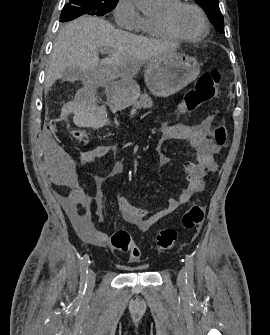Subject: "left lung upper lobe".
Segmentation results:
<instances>
[{
	"label": "left lung upper lobe",
	"mask_w": 270,
	"mask_h": 335,
	"mask_svg": "<svg viewBox=\"0 0 270 335\" xmlns=\"http://www.w3.org/2000/svg\"><path fill=\"white\" fill-rule=\"evenodd\" d=\"M205 11L210 22L220 33H224V19L219 8L218 0H195Z\"/></svg>",
	"instance_id": "1"
}]
</instances>
